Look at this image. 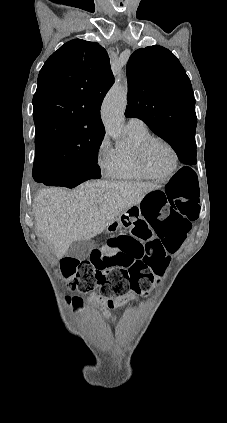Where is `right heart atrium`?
Listing matches in <instances>:
<instances>
[{
    "mask_svg": "<svg viewBox=\"0 0 227 423\" xmlns=\"http://www.w3.org/2000/svg\"><path fill=\"white\" fill-rule=\"evenodd\" d=\"M96 163L102 174L114 177L117 168L116 153L107 135H103L98 143Z\"/></svg>",
    "mask_w": 227,
    "mask_h": 423,
    "instance_id": "right-heart-atrium-1",
    "label": "right heart atrium"
}]
</instances>
